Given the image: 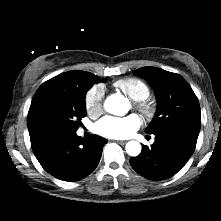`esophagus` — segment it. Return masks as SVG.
I'll list each match as a JSON object with an SVG mask.
<instances>
[{"mask_svg":"<svg viewBox=\"0 0 221 221\" xmlns=\"http://www.w3.org/2000/svg\"><path fill=\"white\" fill-rule=\"evenodd\" d=\"M118 143H120V144H125L126 143V141H117Z\"/></svg>","mask_w":221,"mask_h":221,"instance_id":"1","label":"esophagus"}]
</instances>
